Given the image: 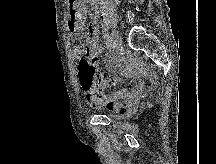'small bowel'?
Here are the masks:
<instances>
[{
    "label": "small bowel",
    "instance_id": "c3829d8e",
    "mask_svg": "<svg viewBox=\"0 0 216 164\" xmlns=\"http://www.w3.org/2000/svg\"><path fill=\"white\" fill-rule=\"evenodd\" d=\"M102 52L103 49L97 41V28L94 24H90L86 28L85 45L82 50L75 48V54L84 53L94 64H98L99 55ZM107 65L111 72L119 73L129 79L130 89L107 92V89L115 86L121 79L111 78L105 73L101 85L97 89L87 92L86 100L94 109H107L119 115H125L132 111L142 92V84L138 77L144 73V68L140 64H133L124 57L111 58Z\"/></svg>",
    "mask_w": 216,
    "mask_h": 164
}]
</instances>
